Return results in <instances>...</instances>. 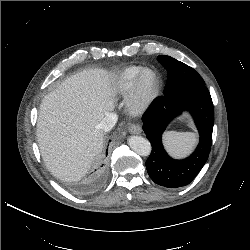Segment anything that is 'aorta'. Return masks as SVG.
<instances>
[{"label":"aorta","instance_id":"1","mask_svg":"<svg viewBox=\"0 0 250 250\" xmlns=\"http://www.w3.org/2000/svg\"><path fill=\"white\" fill-rule=\"evenodd\" d=\"M130 148L140 156H148L151 153L150 142L142 136H131L128 138Z\"/></svg>","mask_w":250,"mask_h":250}]
</instances>
